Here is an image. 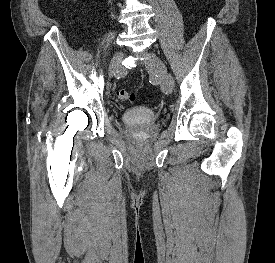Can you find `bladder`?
Instances as JSON below:
<instances>
[{"instance_id":"1","label":"bladder","mask_w":275,"mask_h":263,"mask_svg":"<svg viewBox=\"0 0 275 263\" xmlns=\"http://www.w3.org/2000/svg\"><path fill=\"white\" fill-rule=\"evenodd\" d=\"M157 119V114L145 106H134L121 114V120L130 126H149Z\"/></svg>"}]
</instances>
